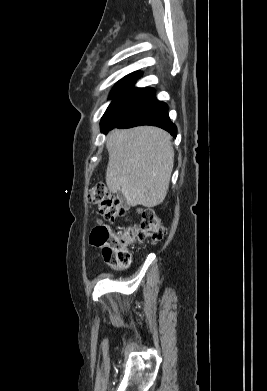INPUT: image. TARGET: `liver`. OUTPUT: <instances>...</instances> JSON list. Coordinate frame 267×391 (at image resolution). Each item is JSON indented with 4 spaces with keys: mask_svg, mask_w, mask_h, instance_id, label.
Here are the masks:
<instances>
[{
    "mask_svg": "<svg viewBox=\"0 0 267 391\" xmlns=\"http://www.w3.org/2000/svg\"><path fill=\"white\" fill-rule=\"evenodd\" d=\"M106 184L121 191L130 206L152 208L167 194L174 164L171 136L151 126L115 129L107 135Z\"/></svg>",
    "mask_w": 267,
    "mask_h": 391,
    "instance_id": "obj_1",
    "label": "liver"
}]
</instances>
